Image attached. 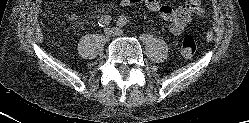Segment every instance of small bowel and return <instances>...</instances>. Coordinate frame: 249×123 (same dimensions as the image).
<instances>
[{
	"mask_svg": "<svg viewBox=\"0 0 249 123\" xmlns=\"http://www.w3.org/2000/svg\"><path fill=\"white\" fill-rule=\"evenodd\" d=\"M139 4L145 5L152 12L159 13L162 19L168 23L170 32L175 35L181 34L193 17H203L205 14L202 0H189L178 8L163 4L159 0H120L122 7Z\"/></svg>",
	"mask_w": 249,
	"mask_h": 123,
	"instance_id": "c3829d8e",
	"label": "small bowel"
}]
</instances>
